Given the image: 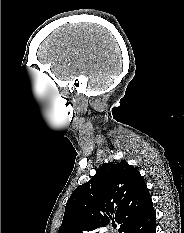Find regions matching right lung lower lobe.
<instances>
[{"instance_id":"obj_1","label":"right lung lower lobe","mask_w":184,"mask_h":233,"mask_svg":"<svg viewBox=\"0 0 184 233\" xmlns=\"http://www.w3.org/2000/svg\"><path fill=\"white\" fill-rule=\"evenodd\" d=\"M155 218L152 204L141 216L125 226L120 233H155Z\"/></svg>"}]
</instances>
